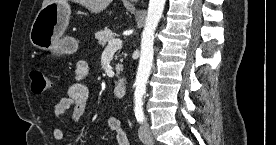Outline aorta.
Instances as JSON below:
<instances>
[{
    "mask_svg": "<svg viewBox=\"0 0 276 145\" xmlns=\"http://www.w3.org/2000/svg\"><path fill=\"white\" fill-rule=\"evenodd\" d=\"M166 0H149L145 27L141 38V53L135 81L134 102L135 106L143 105L146 85L153 64L154 34L162 17Z\"/></svg>",
    "mask_w": 276,
    "mask_h": 145,
    "instance_id": "aorta-1",
    "label": "aorta"
}]
</instances>
